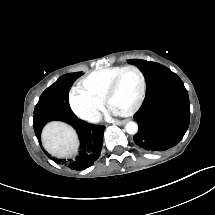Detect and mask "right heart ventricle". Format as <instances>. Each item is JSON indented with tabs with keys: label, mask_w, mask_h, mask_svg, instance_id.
<instances>
[{
	"label": "right heart ventricle",
	"mask_w": 215,
	"mask_h": 215,
	"mask_svg": "<svg viewBox=\"0 0 215 215\" xmlns=\"http://www.w3.org/2000/svg\"><path fill=\"white\" fill-rule=\"evenodd\" d=\"M118 66L108 67L106 69L95 70L82 78L80 89L82 93L95 98L107 91L115 78L114 70Z\"/></svg>",
	"instance_id": "obj_1"
}]
</instances>
